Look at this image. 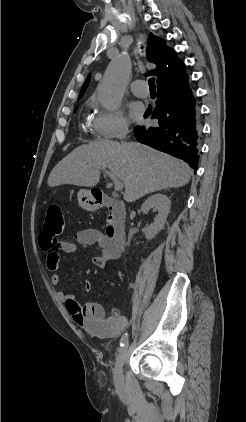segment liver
<instances>
[{"label":"liver","instance_id":"1","mask_svg":"<svg viewBox=\"0 0 246 422\" xmlns=\"http://www.w3.org/2000/svg\"><path fill=\"white\" fill-rule=\"evenodd\" d=\"M106 168L123 182L126 202L166 188L182 187L192 174L183 161L145 145L102 140L73 150L53 168L47 183L49 187H94L100 181L101 170Z\"/></svg>","mask_w":246,"mask_h":422}]
</instances>
